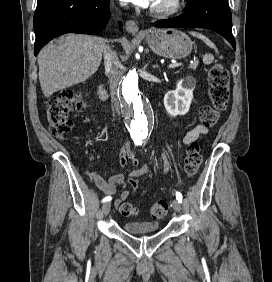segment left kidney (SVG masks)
<instances>
[{
  "label": "left kidney",
  "instance_id": "5707ae66",
  "mask_svg": "<svg viewBox=\"0 0 272 282\" xmlns=\"http://www.w3.org/2000/svg\"><path fill=\"white\" fill-rule=\"evenodd\" d=\"M196 80L186 78L177 82L174 91H169L164 96V106L170 116L185 115L189 109L193 99V90Z\"/></svg>",
  "mask_w": 272,
  "mask_h": 282
}]
</instances>
